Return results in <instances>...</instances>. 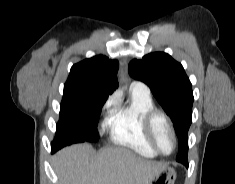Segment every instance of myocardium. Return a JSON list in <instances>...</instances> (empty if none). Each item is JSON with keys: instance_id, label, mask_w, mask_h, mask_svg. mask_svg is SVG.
Instances as JSON below:
<instances>
[{"instance_id": "1", "label": "myocardium", "mask_w": 235, "mask_h": 184, "mask_svg": "<svg viewBox=\"0 0 235 184\" xmlns=\"http://www.w3.org/2000/svg\"><path fill=\"white\" fill-rule=\"evenodd\" d=\"M159 121L163 122L169 128V130L172 132L174 140H175L174 149L169 154L162 152L156 142L155 132H156V125ZM143 125H144L145 133H146L153 149L158 154H160L162 156H170L176 151L177 146H178L177 132H176V129H175L171 119L169 118V116L165 112H163L159 109H156V108L150 110L144 117Z\"/></svg>"}]
</instances>
